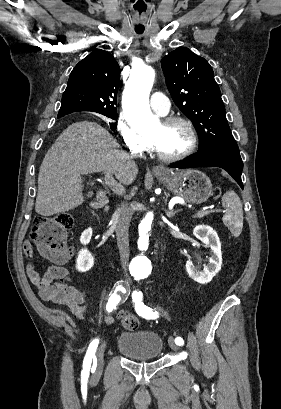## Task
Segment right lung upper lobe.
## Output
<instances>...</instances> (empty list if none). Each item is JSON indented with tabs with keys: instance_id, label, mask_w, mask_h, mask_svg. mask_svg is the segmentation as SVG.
Returning a JSON list of instances; mask_svg holds the SVG:
<instances>
[{
	"instance_id": "obj_1",
	"label": "right lung upper lobe",
	"mask_w": 281,
	"mask_h": 409,
	"mask_svg": "<svg viewBox=\"0 0 281 409\" xmlns=\"http://www.w3.org/2000/svg\"><path fill=\"white\" fill-rule=\"evenodd\" d=\"M120 68L114 57L95 50L72 70L57 118L72 112H116Z\"/></svg>"
}]
</instances>
